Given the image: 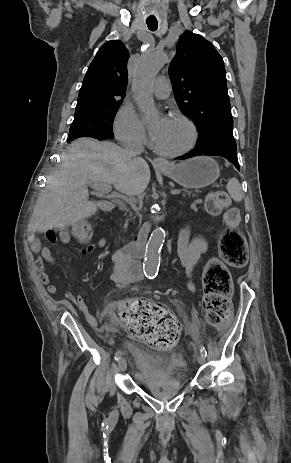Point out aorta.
Here are the masks:
<instances>
[{"mask_svg":"<svg viewBox=\"0 0 291 463\" xmlns=\"http://www.w3.org/2000/svg\"><path fill=\"white\" fill-rule=\"evenodd\" d=\"M168 61L166 55L150 50L141 58L133 79L134 99L138 109L145 115H151L155 111L152 88L156 75ZM159 210L155 214V229L151 233L146 247L143 263L144 273L147 276H154L160 265V251L165 239V231L158 226L160 222Z\"/></svg>","mask_w":291,"mask_h":463,"instance_id":"aorta-1","label":"aorta"}]
</instances>
